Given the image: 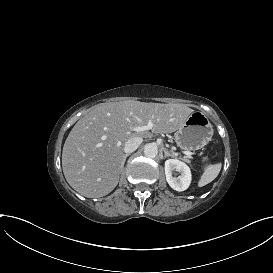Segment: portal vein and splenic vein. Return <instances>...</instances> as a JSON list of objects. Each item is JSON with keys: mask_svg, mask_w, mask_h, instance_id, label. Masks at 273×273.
<instances>
[{"mask_svg": "<svg viewBox=\"0 0 273 273\" xmlns=\"http://www.w3.org/2000/svg\"><path fill=\"white\" fill-rule=\"evenodd\" d=\"M153 128V123L152 122H149L147 125H144V126H137V127H134L133 128V131H136V132H141V131H146V130H150ZM179 153H182V150H179ZM185 155H187L188 157H191V152L189 151H184L183 152Z\"/></svg>", "mask_w": 273, "mask_h": 273, "instance_id": "portal-vein-and-splenic-vein-1", "label": "portal vein and splenic vein"}]
</instances>
